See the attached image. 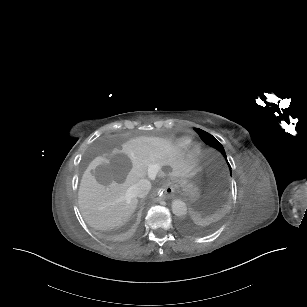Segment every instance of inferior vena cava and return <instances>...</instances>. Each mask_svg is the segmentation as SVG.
<instances>
[{
	"label": "inferior vena cava",
	"mask_w": 307,
	"mask_h": 307,
	"mask_svg": "<svg viewBox=\"0 0 307 307\" xmlns=\"http://www.w3.org/2000/svg\"><path fill=\"white\" fill-rule=\"evenodd\" d=\"M132 189L137 197L143 198L149 193L151 189V183L147 179H141L133 186Z\"/></svg>",
	"instance_id": "602c4592"
}]
</instances>
